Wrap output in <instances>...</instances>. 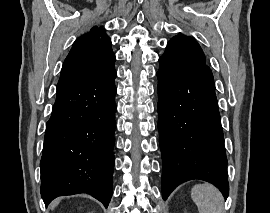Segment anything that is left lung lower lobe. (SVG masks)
I'll return each mask as SVG.
<instances>
[{"label": "left lung lower lobe", "mask_w": 270, "mask_h": 213, "mask_svg": "<svg viewBox=\"0 0 270 213\" xmlns=\"http://www.w3.org/2000/svg\"><path fill=\"white\" fill-rule=\"evenodd\" d=\"M157 77L163 199L192 179L212 183L227 198V158L213 77L161 70Z\"/></svg>", "instance_id": "0a47b994"}]
</instances>
